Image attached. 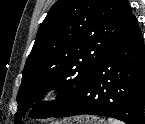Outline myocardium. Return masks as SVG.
Masks as SVG:
<instances>
[{
    "instance_id": "1",
    "label": "myocardium",
    "mask_w": 145,
    "mask_h": 124,
    "mask_svg": "<svg viewBox=\"0 0 145 124\" xmlns=\"http://www.w3.org/2000/svg\"><path fill=\"white\" fill-rule=\"evenodd\" d=\"M62 94L59 85L50 84L44 87L37 95V100L42 103H50L56 101Z\"/></svg>"
}]
</instances>
